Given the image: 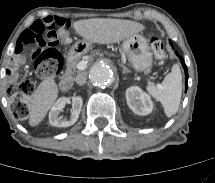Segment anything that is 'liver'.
<instances>
[{"label": "liver", "instance_id": "obj_1", "mask_svg": "<svg viewBox=\"0 0 215 183\" xmlns=\"http://www.w3.org/2000/svg\"><path fill=\"white\" fill-rule=\"evenodd\" d=\"M75 32L91 43L108 44L124 40L145 29L144 25L130 20L95 18L73 23ZM58 96L53 77L42 81L30 100L29 125H38L46 116Z\"/></svg>", "mask_w": 215, "mask_h": 183}]
</instances>
